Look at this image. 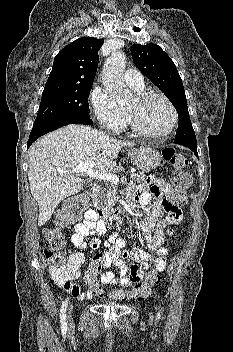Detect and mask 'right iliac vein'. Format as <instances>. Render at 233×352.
<instances>
[{
	"label": "right iliac vein",
	"instance_id": "obj_1",
	"mask_svg": "<svg viewBox=\"0 0 233 352\" xmlns=\"http://www.w3.org/2000/svg\"><path fill=\"white\" fill-rule=\"evenodd\" d=\"M72 312H73V305H70L68 307V309H67V322H68V325H71L72 322H73Z\"/></svg>",
	"mask_w": 233,
	"mask_h": 352
}]
</instances>
